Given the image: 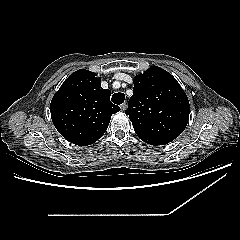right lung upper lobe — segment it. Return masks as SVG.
<instances>
[{
    "instance_id": "cb5924a9",
    "label": "right lung upper lobe",
    "mask_w": 240,
    "mask_h": 240,
    "mask_svg": "<svg viewBox=\"0 0 240 240\" xmlns=\"http://www.w3.org/2000/svg\"><path fill=\"white\" fill-rule=\"evenodd\" d=\"M111 91L102 89L101 78L85 69L72 73L53 96L51 118L69 142L88 146L107 130L111 115L120 108L110 101Z\"/></svg>"
}]
</instances>
